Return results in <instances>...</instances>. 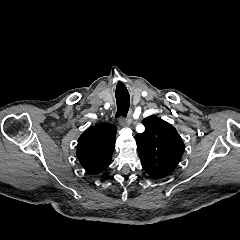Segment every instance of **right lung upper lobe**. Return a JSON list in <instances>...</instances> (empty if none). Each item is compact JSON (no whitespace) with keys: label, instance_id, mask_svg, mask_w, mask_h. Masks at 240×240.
I'll return each instance as SVG.
<instances>
[{"label":"right lung upper lobe","instance_id":"right-lung-upper-lobe-1","mask_svg":"<svg viewBox=\"0 0 240 240\" xmlns=\"http://www.w3.org/2000/svg\"><path fill=\"white\" fill-rule=\"evenodd\" d=\"M116 129L110 124L91 126L79 137L76 155L88 173L100 174L110 165Z\"/></svg>","mask_w":240,"mask_h":240}]
</instances>
